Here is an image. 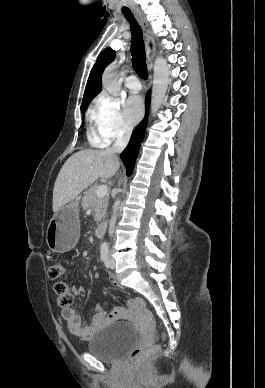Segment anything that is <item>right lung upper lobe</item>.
Masks as SVG:
<instances>
[{"mask_svg":"<svg viewBox=\"0 0 265 388\" xmlns=\"http://www.w3.org/2000/svg\"><path fill=\"white\" fill-rule=\"evenodd\" d=\"M115 51L110 47L106 48L97 58L94 64L87 85L84 92L82 105L91 101L101 91V76L104 69L109 65L115 58ZM81 105V106H82Z\"/></svg>","mask_w":265,"mask_h":388,"instance_id":"cb5924a9","label":"right lung upper lobe"}]
</instances>
